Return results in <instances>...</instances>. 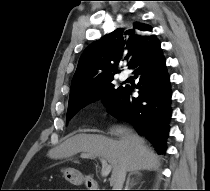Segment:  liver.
Returning a JSON list of instances; mask_svg holds the SVG:
<instances>
[{
    "mask_svg": "<svg viewBox=\"0 0 210 191\" xmlns=\"http://www.w3.org/2000/svg\"><path fill=\"white\" fill-rule=\"evenodd\" d=\"M110 134L117 135L120 139L114 140L103 135L81 133L52 148L47 155L51 159H67L82 152L103 157L112 166L111 184L122 166L132 173L155 169L159 166L157 155L146 145L142 137L129 128L116 126L110 129Z\"/></svg>",
    "mask_w": 210,
    "mask_h": 191,
    "instance_id": "1",
    "label": "liver"
}]
</instances>
